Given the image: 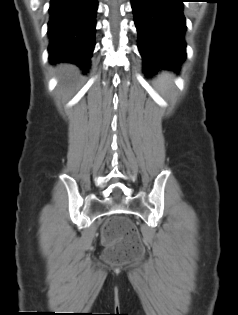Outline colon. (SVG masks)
I'll return each instance as SVG.
<instances>
[{
    "label": "colon",
    "instance_id": "1",
    "mask_svg": "<svg viewBox=\"0 0 238 315\" xmlns=\"http://www.w3.org/2000/svg\"><path fill=\"white\" fill-rule=\"evenodd\" d=\"M102 240L107 245L105 259L114 264L131 262L143 254L139 232L124 216H114L104 225Z\"/></svg>",
    "mask_w": 238,
    "mask_h": 315
}]
</instances>
